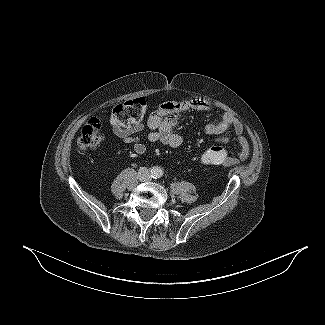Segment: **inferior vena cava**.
<instances>
[{"label":"inferior vena cava","instance_id":"obj_1","mask_svg":"<svg viewBox=\"0 0 325 325\" xmlns=\"http://www.w3.org/2000/svg\"><path fill=\"white\" fill-rule=\"evenodd\" d=\"M139 177L142 181H147L150 179V174L148 173V170H146V168H141L139 171Z\"/></svg>","mask_w":325,"mask_h":325}]
</instances>
